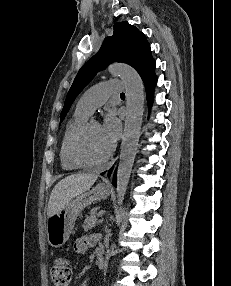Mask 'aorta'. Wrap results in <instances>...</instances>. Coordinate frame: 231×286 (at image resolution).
<instances>
[{
    "instance_id": "1",
    "label": "aorta",
    "mask_w": 231,
    "mask_h": 286,
    "mask_svg": "<svg viewBox=\"0 0 231 286\" xmlns=\"http://www.w3.org/2000/svg\"><path fill=\"white\" fill-rule=\"evenodd\" d=\"M108 71L122 79L126 90V118L117 171V201L121 205L126 194L138 147L144 112V85L135 69L126 64H112Z\"/></svg>"
}]
</instances>
